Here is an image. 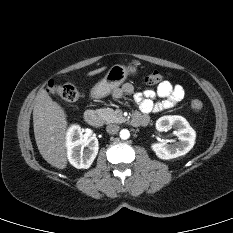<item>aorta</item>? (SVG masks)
Segmentation results:
<instances>
[{
	"label": "aorta",
	"mask_w": 233,
	"mask_h": 233,
	"mask_svg": "<svg viewBox=\"0 0 233 233\" xmlns=\"http://www.w3.org/2000/svg\"><path fill=\"white\" fill-rule=\"evenodd\" d=\"M130 137V132L127 129H122L120 131V138L121 139H128Z\"/></svg>",
	"instance_id": "1"
}]
</instances>
